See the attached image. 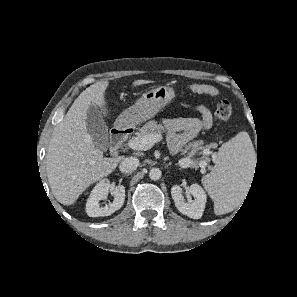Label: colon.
<instances>
[{"label":"colon","mask_w":297,"mask_h":297,"mask_svg":"<svg viewBox=\"0 0 297 297\" xmlns=\"http://www.w3.org/2000/svg\"><path fill=\"white\" fill-rule=\"evenodd\" d=\"M190 90L196 94H208L215 100V116L220 121H227L232 117L231 104L224 99H220L218 93L211 87L203 84H193Z\"/></svg>","instance_id":"5ec220e1"}]
</instances>
